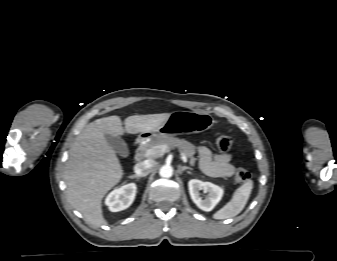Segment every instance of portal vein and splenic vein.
Segmentation results:
<instances>
[{
    "label": "portal vein and splenic vein",
    "mask_w": 337,
    "mask_h": 261,
    "mask_svg": "<svg viewBox=\"0 0 337 261\" xmlns=\"http://www.w3.org/2000/svg\"><path fill=\"white\" fill-rule=\"evenodd\" d=\"M168 151H169V148H168L167 145H160V146H155L153 148L148 149L144 153V155L146 157H151V156L156 155V154L163 155L164 153H166ZM181 159L183 160V162H187V157H186L184 152L181 153Z\"/></svg>",
    "instance_id": "portal-vein-and-splenic-vein-1"
}]
</instances>
